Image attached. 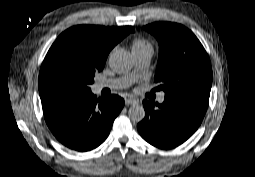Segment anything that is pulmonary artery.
I'll return each instance as SVG.
<instances>
[{
    "instance_id": "1",
    "label": "pulmonary artery",
    "mask_w": 255,
    "mask_h": 177,
    "mask_svg": "<svg viewBox=\"0 0 255 177\" xmlns=\"http://www.w3.org/2000/svg\"><path fill=\"white\" fill-rule=\"evenodd\" d=\"M135 61H136V65L141 69V70H145L147 69V67L150 64L151 61V57H152V50L147 49L141 52H135L133 53ZM130 84V82L127 79H120V80H105V81H101L99 83H97V89L101 90L103 88H118V87H125L128 86ZM164 94L162 93L159 98L158 101L160 103H162L164 101Z\"/></svg>"
}]
</instances>
